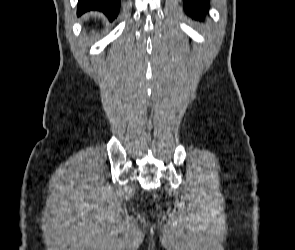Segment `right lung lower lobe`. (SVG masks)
I'll list each match as a JSON object with an SVG mask.
<instances>
[{
	"instance_id": "1",
	"label": "right lung lower lobe",
	"mask_w": 295,
	"mask_h": 250,
	"mask_svg": "<svg viewBox=\"0 0 295 250\" xmlns=\"http://www.w3.org/2000/svg\"><path fill=\"white\" fill-rule=\"evenodd\" d=\"M120 0H78L77 14L81 15L90 10L102 11L113 20L119 11Z\"/></svg>"
}]
</instances>
